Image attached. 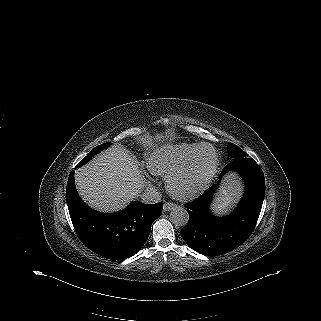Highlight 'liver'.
Wrapping results in <instances>:
<instances>
[{
    "label": "liver",
    "mask_w": 321,
    "mask_h": 321,
    "mask_svg": "<svg viewBox=\"0 0 321 321\" xmlns=\"http://www.w3.org/2000/svg\"><path fill=\"white\" fill-rule=\"evenodd\" d=\"M75 184L90 207L114 212L139 196L145 180L136 159L121 145H114L78 169Z\"/></svg>",
    "instance_id": "1"
}]
</instances>
